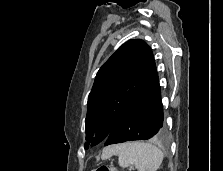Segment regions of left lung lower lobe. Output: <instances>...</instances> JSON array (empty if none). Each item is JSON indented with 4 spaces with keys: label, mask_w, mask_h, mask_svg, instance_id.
I'll return each instance as SVG.
<instances>
[{
    "label": "left lung lower lobe",
    "mask_w": 223,
    "mask_h": 171,
    "mask_svg": "<svg viewBox=\"0 0 223 171\" xmlns=\"http://www.w3.org/2000/svg\"><path fill=\"white\" fill-rule=\"evenodd\" d=\"M159 79L154 68L144 87L105 140V146L166 137Z\"/></svg>",
    "instance_id": "1"
}]
</instances>
